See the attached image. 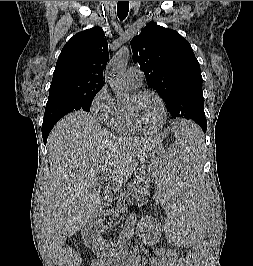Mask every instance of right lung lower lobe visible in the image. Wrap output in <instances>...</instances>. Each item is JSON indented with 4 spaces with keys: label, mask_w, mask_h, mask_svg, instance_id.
Instances as JSON below:
<instances>
[{
    "label": "right lung lower lobe",
    "mask_w": 253,
    "mask_h": 266,
    "mask_svg": "<svg viewBox=\"0 0 253 266\" xmlns=\"http://www.w3.org/2000/svg\"><path fill=\"white\" fill-rule=\"evenodd\" d=\"M55 123H50L47 125H42V136H43V141L46 144L48 135L51 131V129L54 127Z\"/></svg>",
    "instance_id": "1"
}]
</instances>
